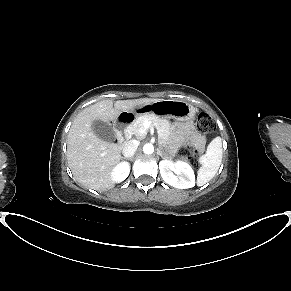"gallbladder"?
Wrapping results in <instances>:
<instances>
[{"instance_id": "obj_1", "label": "gallbladder", "mask_w": 291, "mask_h": 291, "mask_svg": "<svg viewBox=\"0 0 291 291\" xmlns=\"http://www.w3.org/2000/svg\"><path fill=\"white\" fill-rule=\"evenodd\" d=\"M92 129L100 139L108 142H112L115 139V133L112 127L106 122L96 120L92 123Z\"/></svg>"}]
</instances>
